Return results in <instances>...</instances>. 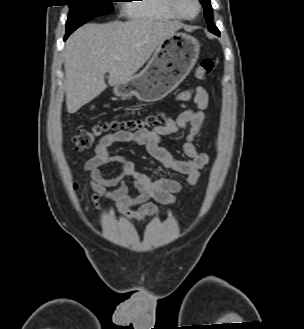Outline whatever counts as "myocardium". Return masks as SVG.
Returning a JSON list of instances; mask_svg holds the SVG:
<instances>
[{"mask_svg":"<svg viewBox=\"0 0 304 329\" xmlns=\"http://www.w3.org/2000/svg\"><path fill=\"white\" fill-rule=\"evenodd\" d=\"M196 5H197V11L194 15L192 16H186L184 14H182L177 6V0H165L166 2V6L169 9V11L176 17L179 19H184V20H192L194 18H196L202 9V5L200 3V0H194Z\"/></svg>","mask_w":304,"mask_h":329,"instance_id":"1","label":"myocardium"}]
</instances>
